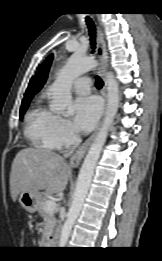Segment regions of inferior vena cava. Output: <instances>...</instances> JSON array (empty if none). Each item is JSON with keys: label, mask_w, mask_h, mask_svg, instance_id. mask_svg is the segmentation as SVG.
<instances>
[{"label": "inferior vena cava", "mask_w": 162, "mask_h": 261, "mask_svg": "<svg viewBox=\"0 0 162 261\" xmlns=\"http://www.w3.org/2000/svg\"><path fill=\"white\" fill-rule=\"evenodd\" d=\"M74 141H75L74 147L69 152L64 154L65 158L69 157L74 152L75 147L81 142V138L78 134L75 136Z\"/></svg>", "instance_id": "1"}]
</instances>
